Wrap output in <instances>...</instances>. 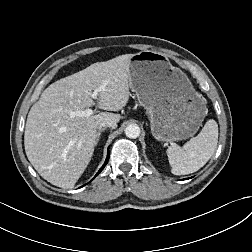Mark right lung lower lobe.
Returning a JSON list of instances; mask_svg holds the SVG:
<instances>
[{
	"label": "right lung lower lobe",
	"instance_id": "1",
	"mask_svg": "<svg viewBox=\"0 0 252 252\" xmlns=\"http://www.w3.org/2000/svg\"><path fill=\"white\" fill-rule=\"evenodd\" d=\"M108 159H109V151H108V154H107V158H106V161L104 163V165L101 167V169L98 171V173L95 175V177L103 170V168L106 166L107 162H108ZM94 177V178H95Z\"/></svg>",
	"mask_w": 252,
	"mask_h": 252
}]
</instances>
